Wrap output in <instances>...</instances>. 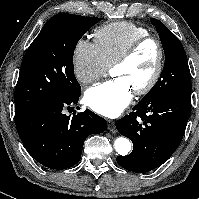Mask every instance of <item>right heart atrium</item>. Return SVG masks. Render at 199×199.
Wrapping results in <instances>:
<instances>
[{"mask_svg":"<svg viewBox=\"0 0 199 199\" xmlns=\"http://www.w3.org/2000/svg\"><path fill=\"white\" fill-rule=\"evenodd\" d=\"M72 64L76 79L83 84L97 80L108 70L97 44L85 39L76 43Z\"/></svg>","mask_w":199,"mask_h":199,"instance_id":"1","label":"right heart atrium"}]
</instances>
